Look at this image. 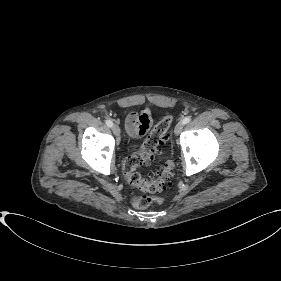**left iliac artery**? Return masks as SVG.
<instances>
[{
	"label": "left iliac artery",
	"instance_id": "obj_1",
	"mask_svg": "<svg viewBox=\"0 0 281 281\" xmlns=\"http://www.w3.org/2000/svg\"><path fill=\"white\" fill-rule=\"evenodd\" d=\"M182 122H183V124L189 123V122H190V117H189V116L185 117V118L182 120Z\"/></svg>",
	"mask_w": 281,
	"mask_h": 281
}]
</instances>
